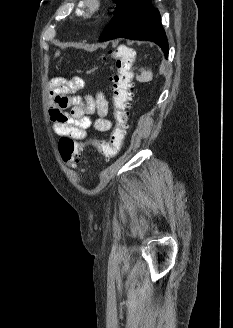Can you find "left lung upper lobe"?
I'll return each instance as SVG.
<instances>
[{
    "mask_svg": "<svg viewBox=\"0 0 233 328\" xmlns=\"http://www.w3.org/2000/svg\"><path fill=\"white\" fill-rule=\"evenodd\" d=\"M126 1L127 0H114V2L116 3L115 11L113 12L114 16L119 12V10L122 8Z\"/></svg>",
    "mask_w": 233,
    "mask_h": 328,
    "instance_id": "left-lung-upper-lobe-1",
    "label": "left lung upper lobe"
}]
</instances>
